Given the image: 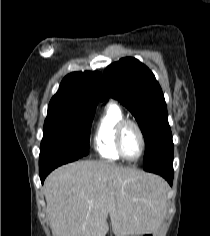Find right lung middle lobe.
Here are the masks:
<instances>
[{
    "instance_id": "1",
    "label": "right lung middle lobe",
    "mask_w": 210,
    "mask_h": 236,
    "mask_svg": "<svg viewBox=\"0 0 210 236\" xmlns=\"http://www.w3.org/2000/svg\"><path fill=\"white\" fill-rule=\"evenodd\" d=\"M93 114L94 109L48 107L40 146V158L50 155L81 158L87 155Z\"/></svg>"
}]
</instances>
